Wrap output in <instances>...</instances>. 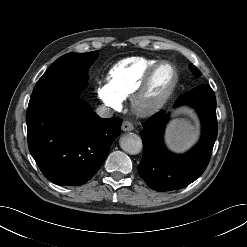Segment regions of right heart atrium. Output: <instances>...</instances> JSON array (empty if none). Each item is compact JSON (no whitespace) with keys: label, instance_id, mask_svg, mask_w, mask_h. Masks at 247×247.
Segmentation results:
<instances>
[{"label":"right heart atrium","instance_id":"d8ad5b80","mask_svg":"<svg viewBox=\"0 0 247 247\" xmlns=\"http://www.w3.org/2000/svg\"><path fill=\"white\" fill-rule=\"evenodd\" d=\"M97 93L106 107L113 110H119L122 107L124 99L114 91L109 81H102L98 86Z\"/></svg>","mask_w":247,"mask_h":247}]
</instances>
